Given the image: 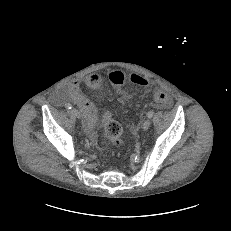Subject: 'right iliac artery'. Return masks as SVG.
Here are the masks:
<instances>
[{
  "mask_svg": "<svg viewBox=\"0 0 231 231\" xmlns=\"http://www.w3.org/2000/svg\"><path fill=\"white\" fill-rule=\"evenodd\" d=\"M65 107H66L67 109H71V108H72V105L68 103V104L65 105Z\"/></svg>",
  "mask_w": 231,
  "mask_h": 231,
  "instance_id": "1",
  "label": "right iliac artery"
}]
</instances>
